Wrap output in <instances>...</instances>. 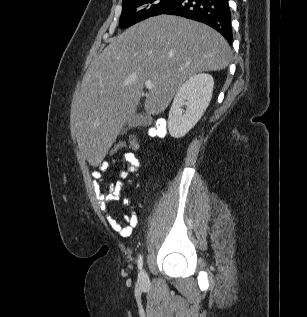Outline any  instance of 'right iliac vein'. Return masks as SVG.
<instances>
[{
    "instance_id": "1",
    "label": "right iliac vein",
    "mask_w": 307,
    "mask_h": 317,
    "mask_svg": "<svg viewBox=\"0 0 307 317\" xmlns=\"http://www.w3.org/2000/svg\"><path fill=\"white\" fill-rule=\"evenodd\" d=\"M138 282H139V284H140V286H146L148 283H149V278H148V276H147V274H146V272L145 271H141L140 273H139V275H138Z\"/></svg>"
}]
</instances>
